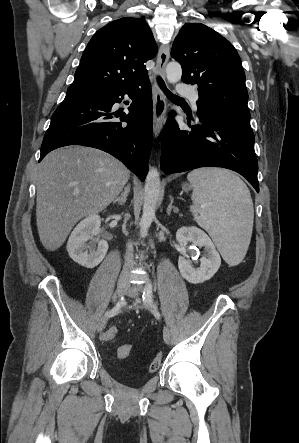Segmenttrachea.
Instances as JSON below:
<instances>
[{
    "label": "trachea",
    "instance_id": "3493384b",
    "mask_svg": "<svg viewBox=\"0 0 299 443\" xmlns=\"http://www.w3.org/2000/svg\"><path fill=\"white\" fill-rule=\"evenodd\" d=\"M157 81H158V84H159L160 88L164 91V93L167 95V97H168L170 100H172V101H174V102H183V101H184V100H183L182 98H180L179 96H177V95L171 93V92L166 88V85H165L164 81H163L160 77H158Z\"/></svg>",
    "mask_w": 299,
    "mask_h": 443
}]
</instances>
